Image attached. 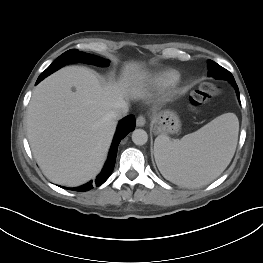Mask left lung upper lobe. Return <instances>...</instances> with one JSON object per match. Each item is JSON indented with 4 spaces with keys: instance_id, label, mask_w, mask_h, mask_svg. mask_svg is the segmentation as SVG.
Returning <instances> with one entry per match:
<instances>
[{
    "instance_id": "5c2ea615",
    "label": "left lung upper lobe",
    "mask_w": 263,
    "mask_h": 263,
    "mask_svg": "<svg viewBox=\"0 0 263 263\" xmlns=\"http://www.w3.org/2000/svg\"><path fill=\"white\" fill-rule=\"evenodd\" d=\"M211 63H214V62L212 60H208V65L211 64ZM215 71H216V76H214V78H216V79H224V80H228L230 82H234L235 81L233 76H232V74L229 71H227L226 69H224L223 67H221L220 65H218V64H216Z\"/></svg>"
}]
</instances>
